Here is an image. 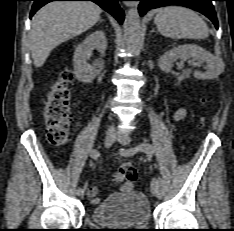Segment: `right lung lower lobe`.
Segmentation results:
<instances>
[{
	"mask_svg": "<svg viewBox=\"0 0 234 231\" xmlns=\"http://www.w3.org/2000/svg\"><path fill=\"white\" fill-rule=\"evenodd\" d=\"M34 4L32 6L30 18L34 15V13L44 6L45 4L51 2V1H93L96 4H98L100 7H102L104 10L112 14L120 24H122L124 20V12L119 7L118 1L121 0H33Z\"/></svg>",
	"mask_w": 234,
	"mask_h": 231,
	"instance_id": "98d812e1",
	"label": "right lung lower lobe"
}]
</instances>
